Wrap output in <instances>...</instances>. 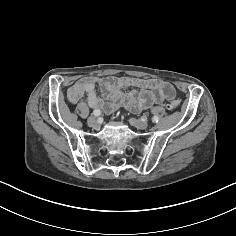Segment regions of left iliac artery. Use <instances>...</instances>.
Returning a JSON list of instances; mask_svg holds the SVG:
<instances>
[{"instance_id": "44dca946", "label": "left iliac artery", "mask_w": 236, "mask_h": 236, "mask_svg": "<svg viewBox=\"0 0 236 236\" xmlns=\"http://www.w3.org/2000/svg\"><path fill=\"white\" fill-rule=\"evenodd\" d=\"M152 122L153 123H157L158 122V117L157 116H153L152 117Z\"/></svg>"}]
</instances>
